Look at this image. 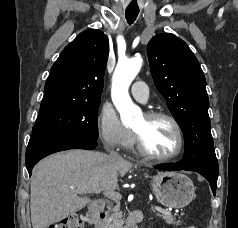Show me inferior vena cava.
Returning <instances> with one entry per match:
<instances>
[{
  "label": "inferior vena cava",
  "mask_w": 238,
  "mask_h": 228,
  "mask_svg": "<svg viewBox=\"0 0 238 228\" xmlns=\"http://www.w3.org/2000/svg\"><path fill=\"white\" fill-rule=\"evenodd\" d=\"M110 155H111L112 157H119V155H118L116 152H110Z\"/></svg>",
  "instance_id": "1"
}]
</instances>
